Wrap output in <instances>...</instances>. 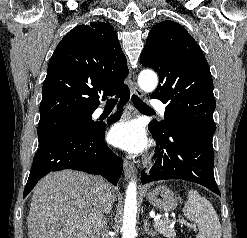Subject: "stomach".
Here are the masks:
<instances>
[{"label":"stomach","instance_id":"stomach-1","mask_svg":"<svg viewBox=\"0 0 247 238\" xmlns=\"http://www.w3.org/2000/svg\"><path fill=\"white\" fill-rule=\"evenodd\" d=\"M147 200L161 211H173L178 205V197L165 185H158L146 194Z\"/></svg>","mask_w":247,"mask_h":238}]
</instances>
